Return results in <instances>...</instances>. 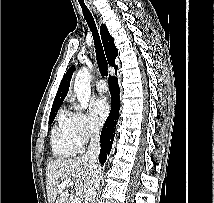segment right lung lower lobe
<instances>
[{"label": "right lung lower lobe", "mask_w": 214, "mask_h": 203, "mask_svg": "<svg viewBox=\"0 0 214 203\" xmlns=\"http://www.w3.org/2000/svg\"><path fill=\"white\" fill-rule=\"evenodd\" d=\"M109 89L111 93L112 103L110 114L105 121L100 137L101 150L99 154V161L101 164H104L107 159V156L110 154L115 135V126L119 116L120 88L118 86L117 77L111 76L109 78Z\"/></svg>", "instance_id": "right-lung-lower-lobe-1"}]
</instances>
